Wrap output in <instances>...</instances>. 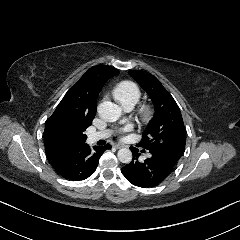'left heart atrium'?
Returning a JSON list of instances; mask_svg holds the SVG:
<instances>
[{
  "instance_id": "1",
  "label": "left heart atrium",
  "mask_w": 240,
  "mask_h": 240,
  "mask_svg": "<svg viewBox=\"0 0 240 240\" xmlns=\"http://www.w3.org/2000/svg\"><path fill=\"white\" fill-rule=\"evenodd\" d=\"M130 129H131L130 127H126V128H124L121 132L124 133V132L129 131Z\"/></svg>"
}]
</instances>
